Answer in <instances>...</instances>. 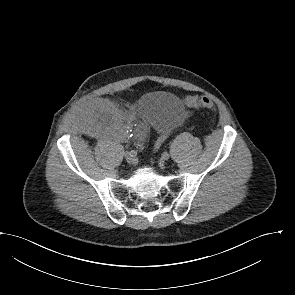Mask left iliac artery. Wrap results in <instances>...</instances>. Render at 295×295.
I'll list each match as a JSON object with an SVG mask.
<instances>
[{"label":"left iliac artery","instance_id":"1","mask_svg":"<svg viewBox=\"0 0 295 295\" xmlns=\"http://www.w3.org/2000/svg\"><path fill=\"white\" fill-rule=\"evenodd\" d=\"M167 154V152H164L163 154H162V156H165Z\"/></svg>","mask_w":295,"mask_h":295}]
</instances>
